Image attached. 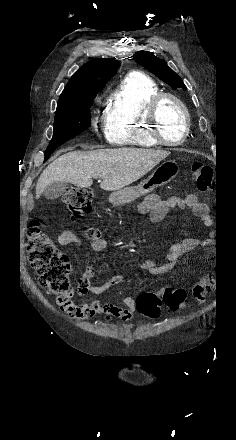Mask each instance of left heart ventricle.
<instances>
[{
    "label": "left heart ventricle",
    "mask_w": 236,
    "mask_h": 440,
    "mask_svg": "<svg viewBox=\"0 0 236 440\" xmlns=\"http://www.w3.org/2000/svg\"><path fill=\"white\" fill-rule=\"evenodd\" d=\"M159 119L163 135L168 140L182 137L185 121L180 107L172 100H165L159 109Z\"/></svg>",
    "instance_id": "1"
}]
</instances>
